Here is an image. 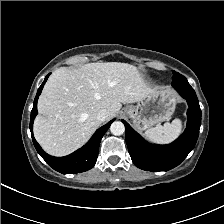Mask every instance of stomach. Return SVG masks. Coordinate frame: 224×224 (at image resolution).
Segmentation results:
<instances>
[{
    "instance_id": "stomach-1",
    "label": "stomach",
    "mask_w": 224,
    "mask_h": 224,
    "mask_svg": "<svg viewBox=\"0 0 224 224\" xmlns=\"http://www.w3.org/2000/svg\"><path fill=\"white\" fill-rule=\"evenodd\" d=\"M177 96L167 87L159 88L154 94L147 96L125 108L126 115L139 131L160 124L171 118L175 111Z\"/></svg>"
}]
</instances>
